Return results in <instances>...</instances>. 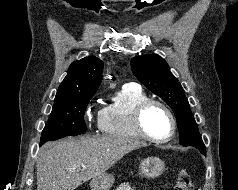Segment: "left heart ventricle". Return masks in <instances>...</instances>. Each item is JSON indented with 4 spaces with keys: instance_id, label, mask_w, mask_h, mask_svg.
Returning <instances> with one entry per match:
<instances>
[{
    "instance_id": "obj_1",
    "label": "left heart ventricle",
    "mask_w": 238,
    "mask_h": 190,
    "mask_svg": "<svg viewBox=\"0 0 238 190\" xmlns=\"http://www.w3.org/2000/svg\"><path fill=\"white\" fill-rule=\"evenodd\" d=\"M143 122L147 132L154 137H165L171 129L168 115L158 106H152L146 111Z\"/></svg>"
}]
</instances>
